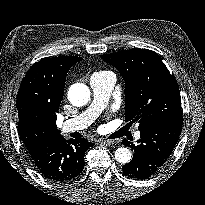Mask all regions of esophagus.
Wrapping results in <instances>:
<instances>
[{
	"label": "esophagus",
	"instance_id": "obj_1",
	"mask_svg": "<svg viewBox=\"0 0 205 205\" xmlns=\"http://www.w3.org/2000/svg\"><path fill=\"white\" fill-rule=\"evenodd\" d=\"M99 143L104 144L106 146H110L113 145L115 142L113 140L104 139V140H99Z\"/></svg>",
	"mask_w": 205,
	"mask_h": 205
}]
</instances>
